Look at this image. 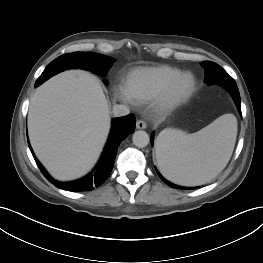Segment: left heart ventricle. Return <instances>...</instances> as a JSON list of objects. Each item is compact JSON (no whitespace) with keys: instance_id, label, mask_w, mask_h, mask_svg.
Returning <instances> with one entry per match:
<instances>
[{"instance_id":"obj_1","label":"left heart ventricle","mask_w":263,"mask_h":263,"mask_svg":"<svg viewBox=\"0 0 263 263\" xmlns=\"http://www.w3.org/2000/svg\"><path fill=\"white\" fill-rule=\"evenodd\" d=\"M189 83H190V80L189 79H185L180 85V90H184L185 88H187Z\"/></svg>"}]
</instances>
